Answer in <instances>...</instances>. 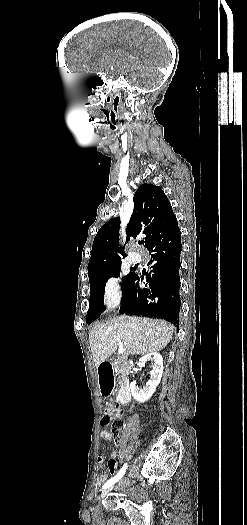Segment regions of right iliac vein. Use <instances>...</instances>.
I'll return each instance as SVG.
<instances>
[{
	"mask_svg": "<svg viewBox=\"0 0 247 525\" xmlns=\"http://www.w3.org/2000/svg\"><path fill=\"white\" fill-rule=\"evenodd\" d=\"M112 489H113V486H110L106 488L105 490H103L102 493L100 494V498L105 497Z\"/></svg>",
	"mask_w": 247,
	"mask_h": 525,
	"instance_id": "right-iliac-vein-1",
	"label": "right iliac vein"
}]
</instances>
